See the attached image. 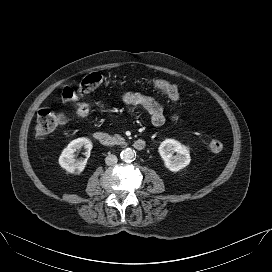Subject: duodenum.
Listing matches in <instances>:
<instances>
[{"instance_id":"410a0bca","label":"duodenum","mask_w":272,"mask_h":272,"mask_svg":"<svg viewBox=\"0 0 272 272\" xmlns=\"http://www.w3.org/2000/svg\"><path fill=\"white\" fill-rule=\"evenodd\" d=\"M95 139L98 143L103 145L104 147H114L116 146V140L112 135L107 132L98 131L95 133ZM147 146V142L145 139H137L134 142V147L138 151H143Z\"/></svg>"}]
</instances>
